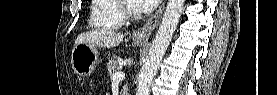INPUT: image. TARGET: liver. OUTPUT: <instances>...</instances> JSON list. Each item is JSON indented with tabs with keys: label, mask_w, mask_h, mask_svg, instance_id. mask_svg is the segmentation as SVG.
I'll list each match as a JSON object with an SVG mask.
<instances>
[{
	"label": "liver",
	"mask_w": 277,
	"mask_h": 95,
	"mask_svg": "<svg viewBox=\"0 0 277 95\" xmlns=\"http://www.w3.org/2000/svg\"><path fill=\"white\" fill-rule=\"evenodd\" d=\"M123 38L124 35L118 32L107 30H93L80 34L75 41V45L86 43L90 46L113 48L119 46Z\"/></svg>",
	"instance_id": "1"
}]
</instances>
